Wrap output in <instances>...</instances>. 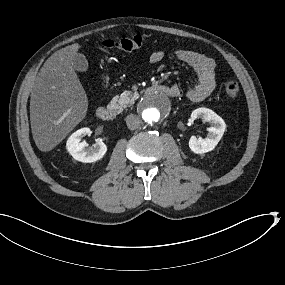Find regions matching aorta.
<instances>
[{"label":"aorta","instance_id":"obj_1","mask_svg":"<svg viewBox=\"0 0 285 285\" xmlns=\"http://www.w3.org/2000/svg\"><path fill=\"white\" fill-rule=\"evenodd\" d=\"M140 112L145 120L151 123H160L168 118L171 112V103L166 95L160 92H151L143 97L140 103Z\"/></svg>","mask_w":285,"mask_h":285}]
</instances>
